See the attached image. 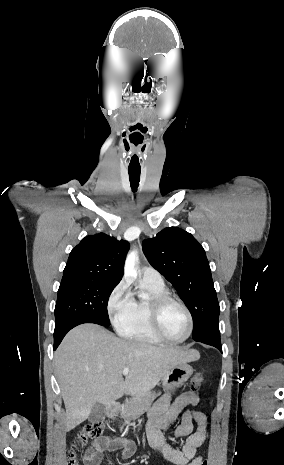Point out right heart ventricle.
Returning <instances> with one entry per match:
<instances>
[{
  "mask_svg": "<svg viewBox=\"0 0 284 465\" xmlns=\"http://www.w3.org/2000/svg\"><path fill=\"white\" fill-rule=\"evenodd\" d=\"M144 282V281H143ZM149 291L147 299L133 301L130 310L116 322L118 333L131 342L158 346L162 342L152 333L148 322L150 321V301L152 298L168 295L165 284H151L144 282Z\"/></svg>",
  "mask_w": 284,
  "mask_h": 465,
  "instance_id": "1",
  "label": "right heart ventricle"
}]
</instances>
